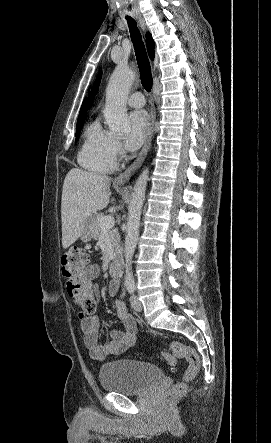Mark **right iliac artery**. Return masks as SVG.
<instances>
[{
    "label": "right iliac artery",
    "instance_id": "obj_1",
    "mask_svg": "<svg viewBox=\"0 0 271 443\" xmlns=\"http://www.w3.org/2000/svg\"><path fill=\"white\" fill-rule=\"evenodd\" d=\"M124 296H125V290H123L121 297L123 298Z\"/></svg>",
    "mask_w": 271,
    "mask_h": 443
}]
</instances>
